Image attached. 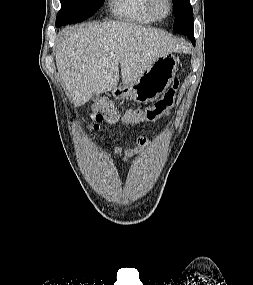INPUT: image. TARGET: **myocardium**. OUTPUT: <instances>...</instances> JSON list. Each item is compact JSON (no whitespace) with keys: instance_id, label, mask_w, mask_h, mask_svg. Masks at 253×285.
<instances>
[{"instance_id":"f54148a6","label":"myocardium","mask_w":253,"mask_h":285,"mask_svg":"<svg viewBox=\"0 0 253 285\" xmlns=\"http://www.w3.org/2000/svg\"><path fill=\"white\" fill-rule=\"evenodd\" d=\"M167 5H168V10L167 13L163 16L158 15L156 10H155V2L156 0H147V9L150 15L155 19V20H164L169 17V15L172 13L173 10V1L172 0H165Z\"/></svg>"}]
</instances>
